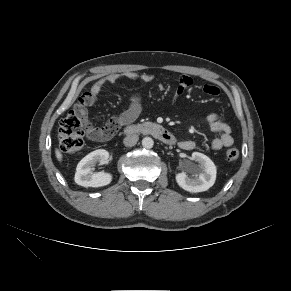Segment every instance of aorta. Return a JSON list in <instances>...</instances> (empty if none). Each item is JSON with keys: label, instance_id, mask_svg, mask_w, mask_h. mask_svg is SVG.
Returning <instances> with one entry per match:
<instances>
[{"label": "aorta", "instance_id": "762f6f07", "mask_svg": "<svg viewBox=\"0 0 291 291\" xmlns=\"http://www.w3.org/2000/svg\"><path fill=\"white\" fill-rule=\"evenodd\" d=\"M153 145H154V141H153L152 138H150V137H145V138L142 139V146H143L144 148L150 149V148L153 147Z\"/></svg>", "mask_w": 291, "mask_h": 291}]
</instances>
